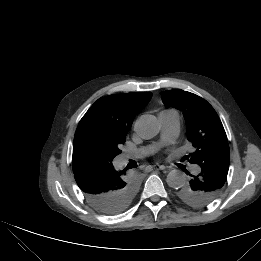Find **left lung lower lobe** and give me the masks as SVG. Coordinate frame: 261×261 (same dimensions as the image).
<instances>
[{"instance_id":"obj_1","label":"left lung lower lobe","mask_w":261,"mask_h":261,"mask_svg":"<svg viewBox=\"0 0 261 261\" xmlns=\"http://www.w3.org/2000/svg\"><path fill=\"white\" fill-rule=\"evenodd\" d=\"M200 168L198 175H190L192 178L187 185L191 190L202 193L204 200L209 204L219 195L226 181L229 165L204 163Z\"/></svg>"}]
</instances>
